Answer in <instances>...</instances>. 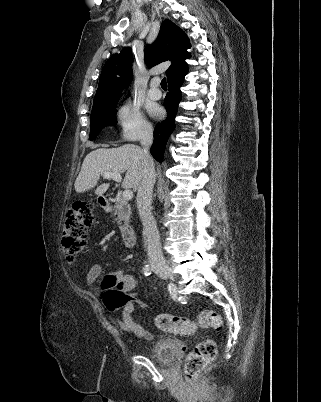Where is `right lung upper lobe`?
I'll list each match as a JSON object with an SVG mask.
<instances>
[{
  "label": "right lung upper lobe",
  "mask_w": 321,
  "mask_h": 402,
  "mask_svg": "<svg viewBox=\"0 0 321 402\" xmlns=\"http://www.w3.org/2000/svg\"><path fill=\"white\" fill-rule=\"evenodd\" d=\"M187 36L182 30L169 20L163 21L158 38L145 48V62L154 66L166 60L172 65L167 69V79L187 70L185 59L189 57L186 51L190 45ZM132 50L125 47L118 54H114L105 63L98 89L94 98L93 108L107 105L121 96L123 86L129 85L132 80Z\"/></svg>",
  "instance_id": "cb5924a9"
}]
</instances>
